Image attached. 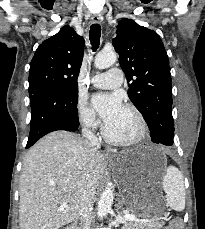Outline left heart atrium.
<instances>
[{"mask_svg": "<svg viewBox=\"0 0 205 229\" xmlns=\"http://www.w3.org/2000/svg\"><path fill=\"white\" fill-rule=\"evenodd\" d=\"M105 124L113 121L123 109L122 99L118 94H97L92 99Z\"/></svg>", "mask_w": 205, "mask_h": 229, "instance_id": "obj_1", "label": "left heart atrium"}]
</instances>
